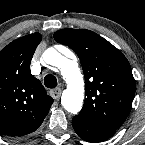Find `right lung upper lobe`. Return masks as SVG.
I'll return each mask as SVG.
<instances>
[{
    "instance_id": "cb5924a9",
    "label": "right lung upper lobe",
    "mask_w": 145,
    "mask_h": 145,
    "mask_svg": "<svg viewBox=\"0 0 145 145\" xmlns=\"http://www.w3.org/2000/svg\"><path fill=\"white\" fill-rule=\"evenodd\" d=\"M41 35L23 36L0 52V134L23 136L34 132L53 103L29 66Z\"/></svg>"
}]
</instances>
